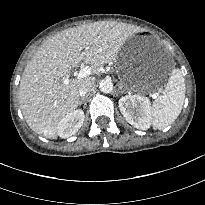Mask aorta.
Returning a JSON list of instances; mask_svg holds the SVG:
<instances>
[{
  "instance_id": "1",
  "label": "aorta",
  "mask_w": 205,
  "mask_h": 205,
  "mask_svg": "<svg viewBox=\"0 0 205 205\" xmlns=\"http://www.w3.org/2000/svg\"><path fill=\"white\" fill-rule=\"evenodd\" d=\"M99 88L103 93H110L113 90V83L110 79H103L99 82Z\"/></svg>"
}]
</instances>
